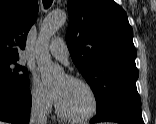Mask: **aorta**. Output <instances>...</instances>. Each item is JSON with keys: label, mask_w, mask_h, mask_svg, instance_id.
I'll return each instance as SVG.
<instances>
[{"label": "aorta", "mask_w": 156, "mask_h": 124, "mask_svg": "<svg viewBox=\"0 0 156 124\" xmlns=\"http://www.w3.org/2000/svg\"><path fill=\"white\" fill-rule=\"evenodd\" d=\"M66 14L62 11H55L46 17L41 25L36 51V61L41 72L42 81L51 84L62 73V69L53 64L48 51L50 38L65 23Z\"/></svg>", "instance_id": "aorta-1"}]
</instances>
